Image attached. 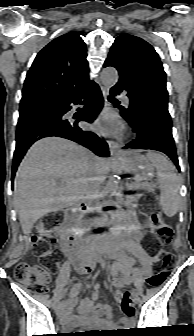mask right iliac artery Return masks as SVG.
<instances>
[{"instance_id": "obj_1", "label": "right iliac artery", "mask_w": 194, "mask_h": 336, "mask_svg": "<svg viewBox=\"0 0 194 336\" xmlns=\"http://www.w3.org/2000/svg\"><path fill=\"white\" fill-rule=\"evenodd\" d=\"M62 305H63V303L61 302V303L59 304V307H62Z\"/></svg>"}]
</instances>
